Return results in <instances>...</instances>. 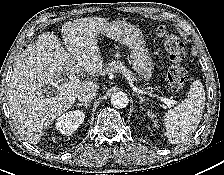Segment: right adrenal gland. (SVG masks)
<instances>
[{
	"mask_svg": "<svg viewBox=\"0 0 224 175\" xmlns=\"http://www.w3.org/2000/svg\"><path fill=\"white\" fill-rule=\"evenodd\" d=\"M77 105L84 106L87 109L88 106L90 105V102L78 103Z\"/></svg>",
	"mask_w": 224,
	"mask_h": 175,
	"instance_id": "obj_1",
	"label": "right adrenal gland"
}]
</instances>
